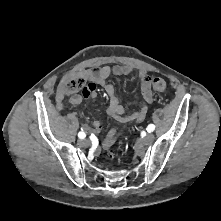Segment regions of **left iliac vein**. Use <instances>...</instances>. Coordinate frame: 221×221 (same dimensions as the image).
<instances>
[{
	"mask_svg": "<svg viewBox=\"0 0 221 221\" xmlns=\"http://www.w3.org/2000/svg\"><path fill=\"white\" fill-rule=\"evenodd\" d=\"M155 137L153 134H147L143 138L140 139V143L143 145H149L154 141Z\"/></svg>",
	"mask_w": 221,
	"mask_h": 221,
	"instance_id": "1",
	"label": "left iliac vein"
}]
</instances>
